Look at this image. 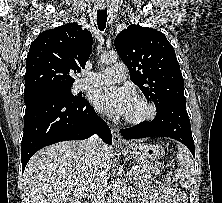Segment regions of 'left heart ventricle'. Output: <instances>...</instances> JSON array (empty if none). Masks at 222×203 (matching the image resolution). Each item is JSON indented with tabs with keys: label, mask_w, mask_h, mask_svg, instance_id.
Segmentation results:
<instances>
[{
	"label": "left heart ventricle",
	"mask_w": 222,
	"mask_h": 203,
	"mask_svg": "<svg viewBox=\"0 0 222 203\" xmlns=\"http://www.w3.org/2000/svg\"><path fill=\"white\" fill-rule=\"evenodd\" d=\"M145 113V107L142 103L132 99L129 109L126 113L127 117H139Z\"/></svg>",
	"instance_id": "left-heart-ventricle-1"
}]
</instances>
